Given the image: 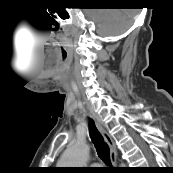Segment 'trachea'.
<instances>
[{"instance_id":"trachea-1","label":"trachea","mask_w":173,"mask_h":173,"mask_svg":"<svg viewBox=\"0 0 173 173\" xmlns=\"http://www.w3.org/2000/svg\"><path fill=\"white\" fill-rule=\"evenodd\" d=\"M89 133L99 158L106 164H111L110 149L103 136L98 131L93 120H89Z\"/></svg>"}]
</instances>
